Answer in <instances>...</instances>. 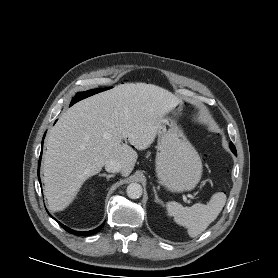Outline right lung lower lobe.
Masks as SVG:
<instances>
[{
	"mask_svg": "<svg viewBox=\"0 0 278 278\" xmlns=\"http://www.w3.org/2000/svg\"><path fill=\"white\" fill-rule=\"evenodd\" d=\"M42 145H43V141H42ZM40 160H41V156H40V159H39V164H38V177H39V166H40ZM39 181H40V178H39ZM57 221V220H56ZM58 222V221H57ZM59 225H61L62 228H64L66 231L70 232V233H73V234H76V235H82V236H88V235H92L94 233H96L97 231H99L102 227H103V224L100 225L98 228L94 229V230H91V231H87V232H79V231H74L66 226H64L63 224H61L60 222H58Z\"/></svg>",
	"mask_w": 278,
	"mask_h": 278,
	"instance_id": "1",
	"label": "right lung lower lobe"
}]
</instances>
